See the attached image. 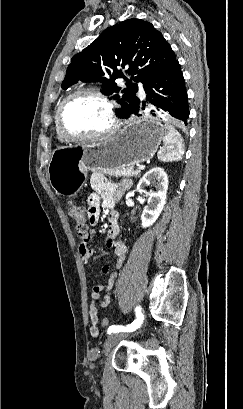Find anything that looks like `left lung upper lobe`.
Returning a JSON list of instances; mask_svg holds the SVG:
<instances>
[{"label": "left lung upper lobe", "instance_id": "obj_1", "mask_svg": "<svg viewBox=\"0 0 243 409\" xmlns=\"http://www.w3.org/2000/svg\"><path fill=\"white\" fill-rule=\"evenodd\" d=\"M176 60L171 46L149 22L128 19L107 28L82 52L76 54L67 68L61 87L69 88L78 81H97L103 93L112 96L121 105L120 118L127 114L138 101L135 93L153 76ZM131 75L128 80L122 73ZM126 79L127 88L121 90L115 83L117 78Z\"/></svg>", "mask_w": 243, "mask_h": 409}]
</instances>
